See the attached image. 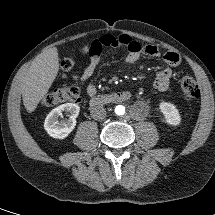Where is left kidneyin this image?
Here are the masks:
<instances>
[{"label":"left kidney","instance_id":"left-kidney-1","mask_svg":"<svg viewBox=\"0 0 215 215\" xmlns=\"http://www.w3.org/2000/svg\"><path fill=\"white\" fill-rule=\"evenodd\" d=\"M159 108L165 117L166 123L172 126H177L181 123L179 111L174 104L162 102L160 103Z\"/></svg>","mask_w":215,"mask_h":215}]
</instances>
